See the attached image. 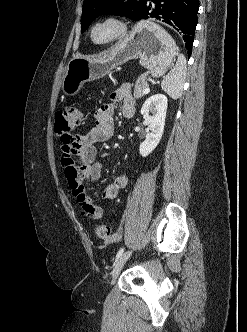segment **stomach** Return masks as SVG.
<instances>
[{"instance_id": "stomach-1", "label": "stomach", "mask_w": 247, "mask_h": 332, "mask_svg": "<svg viewBox=\"0 0 247 332\" xmlns=\"http://www.w3.org/2000/svg\"><path fill=\"white\" fill-rule=\"evenodd\" d=\"M176 55V44L162 27L152 21H141L106 54L96 58H72L66 67L62 91L74 96L84 83L102 78L115 67L137 58L153 77H160L173 64Z\"/></svg>"}]
</instances>
